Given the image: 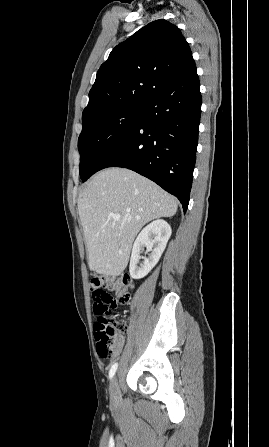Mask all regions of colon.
Returning a JSON list of instances; mask_svg holds the SVG:
<instances>
[{
  "label": "colon",
  "mask_w": 269,
  "mask_h": 447,
  "mask_svg": "<svg viewBox=\"0 0 269 447\" xmlns=\"http://www.w3.org/2000/svg\"><path fill=\"white\" fill-rule=\"evenodd\" d=\"M133 280L127 275H92L87 281V290L97 319L93 325L96 349L102 358H107L122 345L128 331L125 319L116 320L114 310L130 301Z\"/></svg>",
  "instance_id": "obj_1"
}]
</instances>
